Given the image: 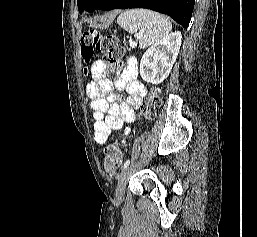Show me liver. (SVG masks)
I'll return each instance as SVG.
<instances>
[{
	"instance_id": "liver-1",
	"label": "liver",
	"mask_w": 257,
	"mask_h": 237,
	"mask_svg": "<svg viewBox=\"0 0 257 237\" xmlns=\"http://www.w3.org/2000/svg\"><path fill=\"white\" fill-rule=\"evenodd\" d=\"M114 18V15L111 17V20Z\"/></svg>"
}]
</instances>
